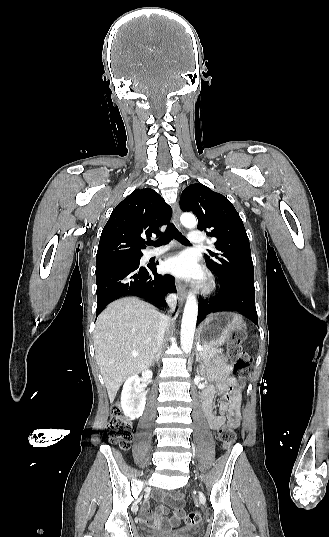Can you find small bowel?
Wrapping results in <instances>:
<instances>
[{
	"label": "small bowel",
	"mask_w": 329,
	"mask_h": 537,
	"mask_svg": "<svg viewBox=\"0 0 329 537\" xmlns=\"http://www.w3.org/2000/svg\"><path fill=\"white\" fill-rule=\"evenodd\" d=\"M231 371L232 366L224 358L218 359L209 372V378L214 384L208 385L202 393L203 411L213 430L220 428L226 421L237 424L240 418L241 392L237 379L231 376ZM216 393L222 396V400L218 409L214 410L213 399ZM157 498L173 508L172 515L167 517L168 509L163 505L152 511L148 499L144 503V521L152 528L166 531L178 527L184 518L181 498L169 493L159 494Z\"/></svg>",
	"instance_id": "obj_1"
}]
</instances>
